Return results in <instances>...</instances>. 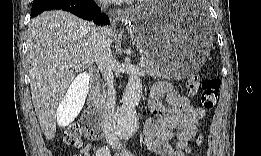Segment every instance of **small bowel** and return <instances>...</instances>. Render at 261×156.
I'll use <instances>...</instances> for the list:
<instances>
[{
	"label": "small bowel",
	"instance_id": "c3829d8e",
	"mask_svg": "<svg viewBox=\"0 0 261 156\" xmlns=\"http://www.w3.org/2000/svg\"><path fill=\"white\" fill-rule=\"evenodd\" d=\"M163 96L166 105L160 101ZM149 108L153 116L145 127L147 151L160 156L188 155L191 152L189 143L203 123L204 110L192 105L188 97L180 95L166 81L157 82L152 87ZM91 148V143L84 144L80 155L89 156Z\"/></svg>",
	"mask_w": 261,
	"mask_h": 156
}]
</instances>
